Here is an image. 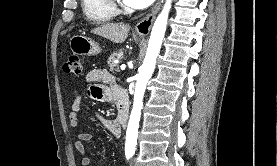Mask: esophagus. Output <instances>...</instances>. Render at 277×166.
I'll use <instances>...</instances> for the list:
<instances>
[{"label":"esophagus","instance_id":"1","mask_svg":"<svg viewBox=\"0 0 277 166\" xmlns=\"http://www.w3.org/2000/svg\"><path fill=\"white\" fill-rule=\"evenodd\" d=\"M163 0H158L152 11L141 19L135 26V31L139 35H147L150 32L154 18L160 9Z\"/></svg>","mask_w":277,"mask_h":166}]
</instances>
